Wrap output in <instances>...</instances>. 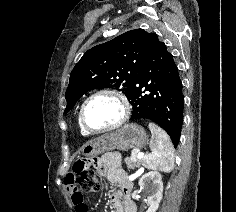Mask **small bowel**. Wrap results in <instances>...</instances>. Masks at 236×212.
<instances>
[{"label":"small bowel","mask_w":236,"mask_h":212,"mask_svg":"<svg viewBox=\"0 0 236 212\" xmlns=\"http://www.w3.org/2000/svg\"><path fill=\"white\" fill-rule=\"evenodd\" d=\"M101 171L108 179L117 184V191L110 197V205L114 212H136V205L130 199L131 182L113 154H105L100 159ZM76 171L67 176L65 185L70 194L75 212H87L83 194L75 186Z\"/></svg>","instance_id":"small-bowel-1"}]
</instances>
